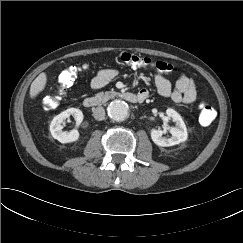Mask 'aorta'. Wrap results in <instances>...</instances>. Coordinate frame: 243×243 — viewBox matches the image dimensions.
Instances as JSON below:
<instances>
[{"instance_id": "aorta-1", "label": "aorta", "mask_w": 243, "mask_h": 243, "mask_svg": "<svg viewBox=\"0 0 243 243\" xmlns=\"http://www.w3.org/2000/svg\"><path fill=\"white\" fill-rule=\"evenodd\" d=\"M108 115L114 121H123L129 113L128 104L120 99L113 100L108 105Z\"/></svg>"}]
</instances>
